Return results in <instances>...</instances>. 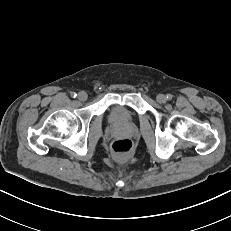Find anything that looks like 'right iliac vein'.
I'll return each instance as SVG.
<instances>
[{
    "label": "right iliac vein",
    "instance_id": "63e3f726",
    "mask_svg": "<svg viewBox=\"0 0 231 231\" xmlns=\"http://www.w3.org/2000/svg\"><path fill=\"white\" fill-rule=\"evenodd\" d=\"M77 98L80 101H85V100H87L88 95H87V93L85 91H81V92L78 93Z\"/></svg>",
    "mask_w": 231,
    "mask_h": 231
}]
</instances>
